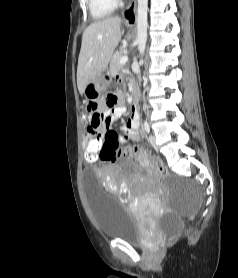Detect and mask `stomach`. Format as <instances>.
Returning a JSON list of instances; mask_svg holds the SVG:
<instances>
[{
  "mask_svg": "<svg viewBox=\"0 0 238 278\" xmlns=\"http://www.w3.org/2000/svg\"><path fill=\"white\" fill-rule=\"evenodd\" d=\"M100 73L95 74V77L85 87L83 94L87 100L102 99L103 89H110L114 74H110V69H101Z\"/></svg>",
  "mask_w": 238,
  "mask_h": 278,
  "instance_id": "1",
  "label": "stomach"
}]
</instances>
